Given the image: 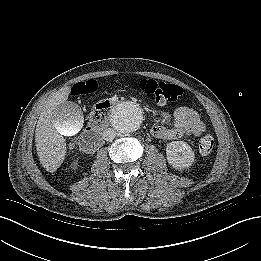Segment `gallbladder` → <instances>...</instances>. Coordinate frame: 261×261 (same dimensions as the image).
Masks as SVG:
<instances>
[{"label": "gallbladder", "instance_id": "obj_1", "mask_svg": "<svg viewBox=\"0 0 261 261\" xmlns=\"http://www.w3.org/2000/svg\"><path fill=\"white\" fill-rule=\"evenodd\" d=\"M85 123L81 109L73 102L60 104L52 113V124L63 136L78 134Z\"/></svg>", "mask_w": 261, "mask_h": 261}]
</instances>
